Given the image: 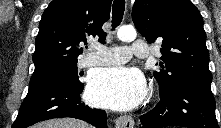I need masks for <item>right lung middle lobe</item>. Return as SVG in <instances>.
Listing matches in <instances>:
<instances>
[{
  "instance_id": "obj_1",
  "label": "right lung middle lobe",
  "mask_w": 221,
  "mask_h": 128,
  "mask_svg": "<svg viewBox=\"0 0 221 128\" xmlns=\"http://www.w3.org/2000/svg\"><path fill=\"white\" fill-rule=\"evenodd\" d=\"M62 82L72 84L76 87L83 88V83L78 78L77 66L72 65L46 74L35 75L30 79L29 89L50 83Z\"/></svg>"
}]
</instances>
